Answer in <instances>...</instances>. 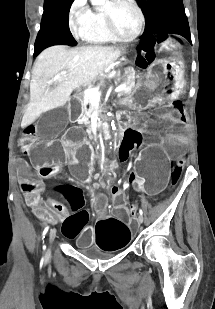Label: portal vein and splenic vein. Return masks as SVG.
<instances>
[{"label": "portal vein and splenic vein", "mask_w": 215, "mask_h": 309, "mask_svg": "<svg viewBox=\"0 0 215 309\" xmlns=\"http://www.w3.org/2000/svg\"><path fill=\"white\" fill-rule=\"evenodd\" d=\"M65 72L66 70H62L60 74H65ZM124 88H126V84H121V86H116L114 90L115 92H122ZM84 94L85 96H100L101 92H99L98 88H86V90H84Z\"/></svg>", "instance_id": "portal-vein-and-splenic-vein-1"}]
</instances>
